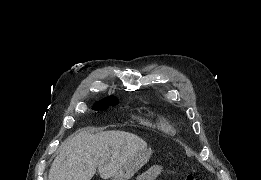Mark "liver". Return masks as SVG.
Segmentation results:
<instances>
[{"mask_svg": "<svg viewBox=\"0 0 261 180\" xmlns=\"http://www.w3.org/2000/svg\"><path fill=\"white\" fill-rule=\"evenodd\" d=\"M147 148L146 142L130 132H99L89 128L69 136L48 174V180H92L97 170L109 180L131 156Z\"/></svg>", "mask_w": 261, "mask_h": 180, "instance_id": "obj_1", "label": "liver"}]
</instances>
